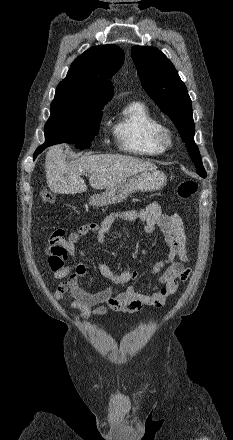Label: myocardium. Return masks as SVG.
<instances>
[{"label": "myocardium", "instance_id": "f54148a6", "mask_svg": "<svg viewBox=\"0 0 233 440\" xmlns=\"http://www.w3.org/2000/svg\"><path fill=\"white\" fill-rule=\"evenodd\" d=\"M157 143L164 149L170 148L173 144L172 131L166 126H160L155 132Z\"/></svg>", "mask_w": 233, "mask_h": 440}]
</instances>
